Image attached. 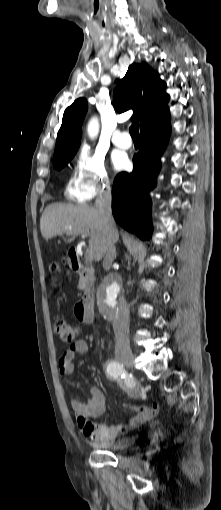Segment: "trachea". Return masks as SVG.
<instances>
[{
	"label": "trachea",
	"mask_w": 221,
	"mask_h": 510,
	"mask_svg": "<svg viewBox=\"0 0 221 510\" xmlns=\"http://www.w3.org/2000/svg\"><path fill=\"white\" fill-rule=\"evenodd\" d=\"M129 132H130V135L133 138V140H139V124L138 123H134L133 125H131V127L129 128Z\"/></svg>",
	"instance_id": "trachea-1"
}]
</instances>
